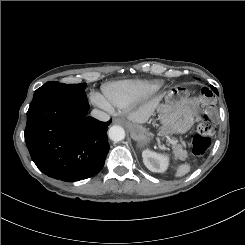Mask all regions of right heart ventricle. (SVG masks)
<instances>
[{
  "label": "right heart ventricle",
  "mask_w": 245,
  "mask_h": 245,
  "mask_svg": "<svg viewBox=\"0 0 245 245\" xmlns=\"http://www.w3.org/2000/svg\"><path fill=\"white\" fill-rule=\"evenodd\" d=\"M163 82L159 80H125L103 87L109 104L117 110H127L157 91Z\"/></svg>",
  "instance_id": "right-heart-ventricle-1"
}]
</instances>
